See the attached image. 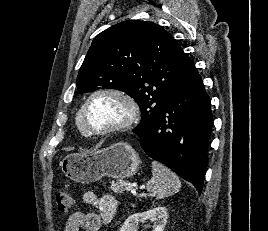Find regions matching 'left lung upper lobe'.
Here are the masks:
<instances>
[{
  "instance_id": "1",
  "label": "left lung upper lobe",
  "mask_w": 268,
  "mask_h": 231,
  "mask_svg": "<svg viewBox=\"0 0 268 231\" xmlns=\"http://www.w3.org/2000/svg\"><path fill=\"white\" fill-rule=\"evenodd\" d=\"M194 69L177 40L161 26L128 20L94 38L76 86L80 93L99 87L126 92L142 112L133 131L146 132L158 119L171 91Z\"/></svg>"
}]
</instances>
